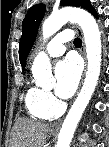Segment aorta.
<instances>
[{
    "mask_svg": "<svg viewBox=\"0 0 109 147\" xmlns=\"http://www.w3.org/2000/svg\"><path fill=\"white\" fill-rule=\"evenodd\" d=\"M68 21L79 24L83 30L88 70L82 89L70 108L59 133L57 147H69L77 124L87 107L97 85L101 69V36L94 17L84 9L65 7L53 12L43 23L44 40L52 36ZM32 74L36 84L46 87L53 82L51 64L48 56L40 52L34 59Z\"/></svg>",
    "mask_w": 109,
    "mask_h": 147,
    "instance_id": "aorta-1",
    "label": "aorta"
}]
</instances>
